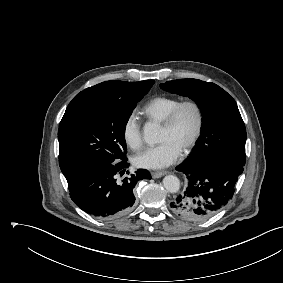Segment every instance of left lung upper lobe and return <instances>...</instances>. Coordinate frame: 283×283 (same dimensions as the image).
<instances>
[{
	"label": "left lung upper lobe",
	"mask_w": 283,
	"mask_h": 283,
	"mask_svg": "<svg viewBox=\"0 0 283 283\" xmlns=\"http://www.w3.org/2000/svg\"><path fill=\"white\" fill-rule=\"evenodd\" d=\"M160 87L191 98L202 110L200 137L183 164L190 168L217 161L245 165V125L235 100L225 90L198 79L172 80Z\"/></svg>",
	"instance_id": "obj_1"
}]
</instances>
